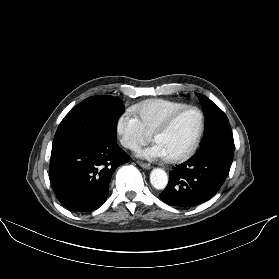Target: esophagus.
Instances as JSON below:
<instances>
[{
	"mask_svg": "<svg viewBox=\"0 0 279 279\" xmlns=\"http://www.w3.org/2000/svg\"><path fill=\"white\" fill-rule=\"evenodd\" d=\"M137 163L144 169H151V164L149 163L142 162V161H138Z\"/></svg>",
	"mask_w": 279,
	"mask_h": 279,
	"instance_id": "obj_1",
	"label": "esophagus"
}]
</instances>
